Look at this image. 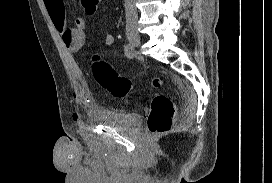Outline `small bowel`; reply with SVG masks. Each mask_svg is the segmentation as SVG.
Wrapping results in <instances>:
<instances>
[{
    "label": "small bowel",
    "instance_id": "1",
    "mask_svg": "<svg viewBox=\"0 0 272 183\" xmlns=\"http://www.w3.org/2000/svg\"><path fill=\"white\" fill-rule=\"evenodd\" d=\"M44 4L49 16L60 33L65 47L71 52H78L86 40V22L83 18H76L75 25L71 26L67 20L64 0H44ZM104 44L111 46L115 37L112 34H106ZM72 118L75 122L81 121V114L74 112Z\"/></svg>",
    "mask_w": 272,
    "mask_h": 183
}]
</instances>
